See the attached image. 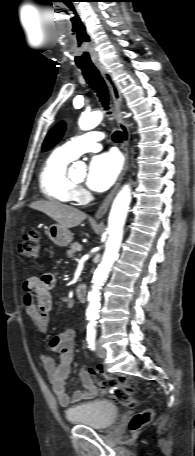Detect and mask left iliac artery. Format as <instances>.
<instances>
[{"label": "left iliac artery", "instance_id": "obj_1", "mask_svg": "<svg viewBox=\"0 0 195 456\" xmlns=\"http://www.w3.org/2000/svg\"><path fill=\"white\" fill-rule=\"evenodd\" d=\"M95 340H96V324L95 322H90L87 330V344L88 348L95 350Z\"/></svg>", "mask_w": 195, "mask_h": 456}]
</instances>
